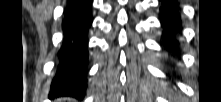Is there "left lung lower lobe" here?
Masks as SVG:
<instances>
[{"mask_svg": "<svg viewBox=\"0 0 221 102\" xmlns=\"http://www.w3.org/2000/svg\"><path fill=\"white\" fill-rule=\"evenodd\" d=\"M163 7L160 8L163 19L161 24L164 28L163 32V46L172 55L178 54V42L174 36L180 28L179 13L175 1H163Z\"/></svg>", "mask_w": 221, "mask_h": 102, "instance_id": "obj_1", "label": "left lung lower lobe"}]
</instances>
